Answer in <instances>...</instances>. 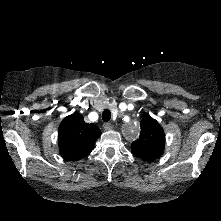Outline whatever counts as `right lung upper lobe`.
I'll return each instance as SVG.
<instances>
[{
    "label": "right lung upper lobe",
    "mask_w": 221,
    "mask_h": 221,
    "mask_svg": "<svg viewBox=\"0 0 221 221\" xmlns=\"http://www.w3.org/2000/svg\"><path fill=\"white\" fill-rule=\"evenodd\" d=\"M100 135L97 126L85 123L82 115L75 112L59 126V153L66 160H79L93 150Z\"/></svg>",
    "instance_id": "obj_1"
}]
</instances>
